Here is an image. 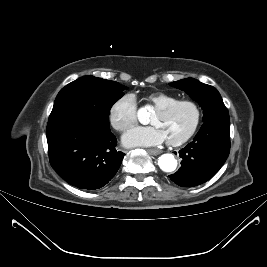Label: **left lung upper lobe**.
Here are the masks:
<instances>
[{
	"mask_svg": "<svg viewBox=\"0 0 267 267\" xmlns=\"http://www.w3.org/2000/svg\"><path fill=\"white\" fill-rule=\"evenodd\" d=\"M169 84L185 91L193 100L199 103L203 109L204 122L216 119H229V113L221 95L214 87L193 78H185Z\"/></svg>",
	"mask_w": 267,
	"mask_h": 267,
	"instance_id": "5c2ea615",
	"label": "left lung upper lobe"
}]
</instances>
